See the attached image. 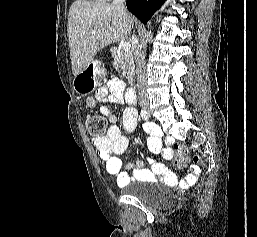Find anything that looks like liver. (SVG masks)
Masks as SVG:
<instances>
[{
  "mask_svg": "<svg viewBox=\"0 0 257 237\" xmlns=\"http://www.w3.org/2000/svg\"><path fill=\"white\" fill-rule=\"evenodd\" d=\"M133 23L125 9L113 4L76 0L68 14L73 75L83 71L100 49L127 38Z\"/></svg>",
  "mask_w": 257,
  "mask_h": 237,
  "instance_id": "6515ba94",
  "label": "liver"
}]
</instances>
